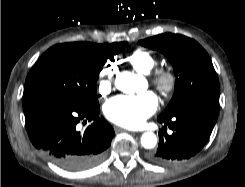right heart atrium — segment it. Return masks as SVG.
I'll return each instance as SVG.
<instances>
[{"mask_svg": "<svg viewBox=\"0 0 245 187\" xmlns=\"http://www.w3.org/2000/svg\"><path fill=\"white\" fill-rule=\"evenodd\" d=\"M116 73V65L111 62H107L101 72L100 78L97 84V92L101 97L107 96L113 89V78Z\"/></svg>", "mask_w": 245, "mask_h": 187, "instance_id": "1", "label": "right heart atrium"}]
</instances>
